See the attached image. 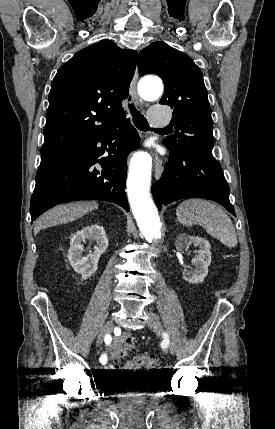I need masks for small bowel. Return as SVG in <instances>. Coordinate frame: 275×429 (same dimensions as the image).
Listing matches in <instances>:
<instances>
[{
	"label": "small bowel",
	"instance_id": "c3829d8e",
	"mask_svg": "<svg viewBox=\"0 0 275 429\" xmlns=\"http://www.w3.org/2000/svg\"><path fill=\"white\" fill-rule=\"evenodd\" d=\"M132 339H134V337L130 333H125L121 337L115 339L112 343H110L109 345H107V347H106V353L109 356V359H110V365L109 366L111 368L116 367L115 365L118 362V360L116 359V352L123 346V344L126 341L132 340ZM133 365L134 364L132 362H128L127 363L128 367H131Z\"/></svg>",
	"mask_w": 275,
	"mask_h": 429
}]
</instances>
